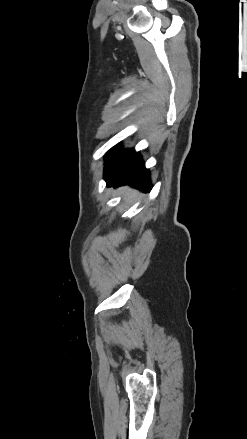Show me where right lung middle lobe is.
Instances as JSON below:
<instances>
[{
	"instance_id": "dd1d6c3e",
	"label": "right lung middle lobe",
	"mask_w": 247,
	"mask_h": 439,
	"mask_svg": "<svg viewBox=\"0 0 247 439\" xmlns=\"http://www.w3.org/2000/svg\"><path fill=\"white\" fill-rule=\"evenodd\" d=\"M121 146L120 145H116L115 147H113L110 151L109 154L106 156V160L116 151L120 150Z\"/></svg>"
}]
</instances>
